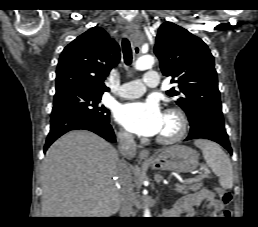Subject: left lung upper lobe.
<instances>
[{"mask_svg":"<svg viewBox=\"0 0 258 227\" xmlns=\"http://www.w3.org/2000/svg\"><path fill=\"white\" fill-rule=\"evenodd\" d=\"M154 52L165 76H172L176 89L167 91L186 112L190 124L206 112L222 113L214 58L207 45L186 29L163 23Z\"/></svg>","mask_w":258,"mask_h":227,"instance_id":"5c2ea615","label":"left lung upper lobe"}]
</instances>
